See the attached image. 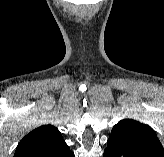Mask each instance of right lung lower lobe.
Returning <instances> with one entry per match:
<instances>
[{
    "instance_id": "1",
    "label": "right lung lower lobe",
    "mask_w": 164,
    "mask_h": 157,
    "mask_svg": "<svg viewBox=\"0 0 164 157\" xmlns=\"http://www.w3.org/2000/svg\"><path fill=\"white\" fill-rule=\"evenodd\" d=\"M37 157H75V155L70 151L68 145L63 140L50 150L38 155Z\"/></svg>"
}]
</instances>
